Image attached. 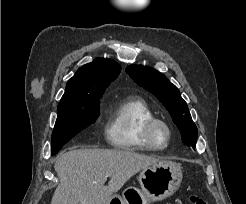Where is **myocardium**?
I'll return each mask as SVG.
<instances>
[{
	"instance_id": "obj_1",
	"label": "myocardium",
	"mask_w": 246,
	"mask_h": 204,
	"mask_svg": "<svg viewBox=\"0 0 246 204\" xmlns=\"http://www.w3.org/2000/svg\"><path fill=\"white\" fill-rule=\"evenodd\" d=\"M158 127H162L167 132V139L164 144H159L155 140V131ZM141 137L145 145L151 150H164L166 149L172 140L173 131L171 126L163 119L153 117L149 119L143 126Z\"/></svg>"
}]
</instances>
